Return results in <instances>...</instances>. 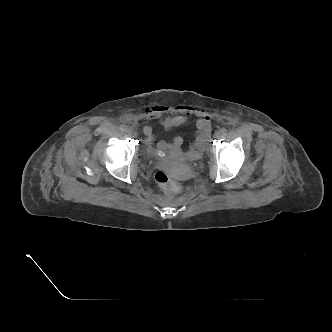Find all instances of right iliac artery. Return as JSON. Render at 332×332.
Wrapping results in <instances>:
<instances>
[{
	"mask_svg": "<svg viewBox=\"0 0 332 332\" xmlns=\"http://www.w3.org/2000/svg\"><path fill=\"white\" fill-rule=\"evenodd\" d=\"M120 130H121V131H126V130H127V127H126L125 125H121V126H120Z\"/></svg>",
	"mask_w": 332,
	"mask_h": 332,
	"instance_id": "obj_1",
	"label": "right iliac artery"
}]
</instances>
